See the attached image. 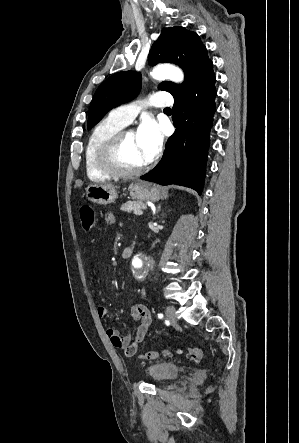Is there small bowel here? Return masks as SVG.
Instances as JSON below:
<instances>
[{
	"label": "small bowel",
	"instance_id": "obj_1",
	"mask_svg": "<svg viewBox=\"0 0 299 443\" xmlns=\"http://www.w3.org/2000/svg\"><path fill=\"white\" fill-rule=\"evenodd\" d=\"M106 220L109 223H113L115 218L112 214H109L107 215ZM97 314L101 318L105 317L107 315L106 307L102 305L98 306ZM131 316L138 322L134 337H131L130 334H121L113 328H109L106 331L110 343L114 347L121 349L128 357L135 355L139 344L145 339L152 323L150 311L143 303L136 304L132 307Z\"/></svg>",
	"mask_w": 299,
	"mask_h": 443
}]
</instances>
